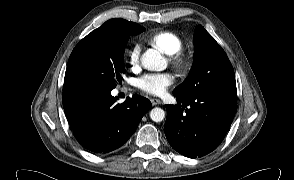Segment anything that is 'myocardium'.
<instances>
[{"mask_svg":"<svg viewBox=\"0 0 294 180\" xmlns=\"http://www.w3.org/2000/svg\"><path fill=\"white\" fill-rule=\"evenodd\" d=\"M171 59H172V63L174 65V67L178 71H183L187 67L186 58L184 57V55L182 53L179 52V53L173 55L171 57Z\"/></svg>","mask_w":294,"mask_h":180,"instance_id":"obj_1","label":"myocardium"}]
</instances>
